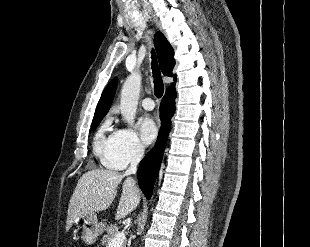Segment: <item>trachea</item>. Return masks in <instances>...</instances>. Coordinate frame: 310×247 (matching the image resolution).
<instances>
[{"label": "trachea", "instance_id": "1", "mask_svg": "<svg viewBox=\"0 0 310 247\" xmlns=\"http://www.w3.org/2000/svg\"><path fill=\"white\" fill-rule=\"evenodd\" d=\"M152 72L154 78V93L157 98H161L164 92V84L162 81L159 66L156 61L154 51H152Z\"/></svg>", "mask_w": 310, "mask_h": 247}]
</instances>
